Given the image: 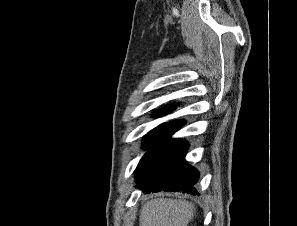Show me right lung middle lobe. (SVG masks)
I'll use <instances>...</instances> for the list:
<instances>
[{
	"mask_svg": "<svg viewBox=\"0 0 297 226\" xmlns=\"http://www.w3.org/2000/svg\"><path fill=\"white\" fill-rule=\"evenodd\" d=\"M165 126V124H161L158 127L154 128L153 130H151L144 138V147H148L151 146V144L153 143V141L155 140L156 136L158 135V133L163 129V127Z\"/></svg>",
	"mask_w": 297,
	"mask_h": 226,
	"instance_id": "right-lung-middle-lobe-1",
	"label": "right lung middle lobe"
}]
</instances>
